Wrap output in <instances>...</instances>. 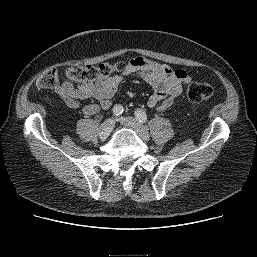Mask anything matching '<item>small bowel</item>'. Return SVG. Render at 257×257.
Wrapping results in <instances>:
<instances>
[{
	"mask_svg": "<svg viewBox=\"0 0 257 257\" xmlns=\"http://www.w3.org/2000/svg\"><path fill=\"white\" fill-rule=\"evenodd\" d=\"M130 75L138 76L153 88L147 105L159 111L168 109L192 80L191 75L184 70H173L165 64L137 57L131 59L120 74L112 75L93 85L80 84L78 87L64 80L56 87V93L67 106L81 109L85 115L90 116L111 106L112 98L120 84ZM85 99H94L96 103L81 106L80 101Z\"/></svg>",
	"mask_w": 257,
	"mask_h": 257,
	"instance_id": "c3829d8e",
	"label": "small bowel"
}]
</instances>
